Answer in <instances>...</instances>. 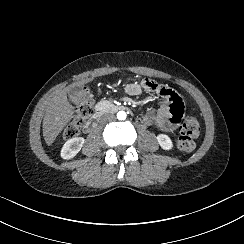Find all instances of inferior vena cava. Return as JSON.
Segmentation results:
<instances>
[{
    "instance_id": "inferior-vena-cava-1",
    "label": "inferior vena cava",
    "mask_w": 244,
    "mask_h": 244,
    "mask_svg": "<svg viewBox=\"0 0 244 244\" xmlns=\"http://www.w3.org/2000/svg\"><path fill=\"white\" fill-rule=\"evenodd\" d=\"M106 119H107V121H111V120L115 121L116 117L114 115L109 114L106 116Z\"/></svg>"
}]
</instances>
